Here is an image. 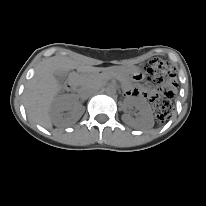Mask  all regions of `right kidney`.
Wrapping results in <instances>:
<instances>
[{"mask_svg":"<svg viewBox=\"0 0 206 206\" xmlns=\"http://www.w3.org/2000/svg\"><path fill=\"white\" fill-rule=\"evenodd\" d=\"M80 117L79 107L73 96H61L57 98L50 109V118L54 123L75 121Z\"/></svg>","mask_w":206,"mask_h":206,"instance_id":"ca27d5eb","label":"right kidney"}]
</instances>
